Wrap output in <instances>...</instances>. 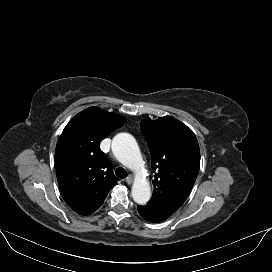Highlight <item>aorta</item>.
<instances>
[{"label":"aorta","mask_w":272,"mask_h":272,"mask_svg":"<svg viewBox=\"0 0 272 272\" xmlns=\"http://www.w3.org/2000/svg\"><path fill=\"white\" fill-rule=\"evenodd\" d=\"M112 152L124 166L138 171L143 167V160L134 137L128 133H119L112 140ZM132 198L140 205H145L151 198L148 180L137 177L132 186Z\"/></svg>","instance_id":"762f6f07"}]
</instances>
